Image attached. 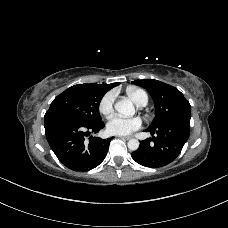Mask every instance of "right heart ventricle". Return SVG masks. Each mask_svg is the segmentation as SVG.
Segmentation results:
<instances>
[{
    "mask_svg": "<svg viewBox=\"0 0 228 228\" xmlns=\"http://www.w3.org/2000/svg\"><path fill=\"white\" fill-rule=\"evenodd\" d=\"M126 92L133 102L138 106H145L147 104L148 95L144 90L135 87H128Z\"/></svg>",
    "mask_w": 228,
    "mask_h": 228,
    "instance_id": "e07e8e85",
    "label": "right heart ventricle"
}]
</instances>
